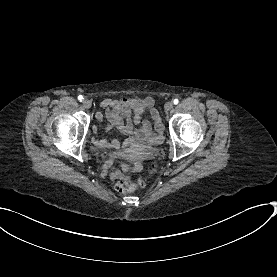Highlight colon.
Masks as SVG:
<instances>
[{
	"mask_svg": "<svg viewBox=\"0 0 277 277\" xmlns=\"http://www.w3.org/2000/svg\"><path fill=\"white\" fill-rule=\"evenodd\" d=\"M157 170L156 165H151L149 167L150 173H154ZM144 181L142 179H125L116 182L115 184V189L120 192V193H129L131 191L136 190L137 188L143 187L144 186Z\"/></svg>",
	"mask_w": 277,
	"mask_h": 277,
	"instance_id": "colon-1",
	"label": "colon"
}]
</instances>
